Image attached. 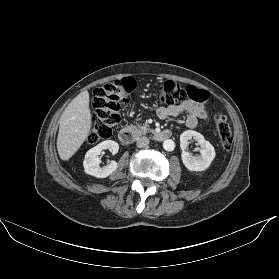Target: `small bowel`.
Segmentation results:
<instances>
[{
	"label": "small bowel",
	"mask_w": 279,
	"mask_h": 279,
	"mask_svg": "<svg viewBox=\"0 0 279 279\" xmlns=\"http://www.w3.org/2000/svg\"><path fill=\"white\" fill-rule=\"evenodd\" d=\"M155 112L160 119H165L171 116H178L185 113V122L186 125L190 128L197 127L199 120L208 119V113L205 107L202 104L189 99L173 106L156 107Z\"/></svg>",
	"instance_id": "1"
}]
</instances>
